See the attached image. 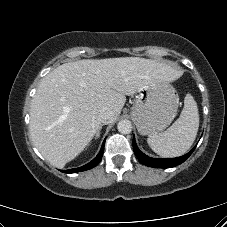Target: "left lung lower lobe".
I'll list each match as a JSON object with an SVG mask.
<instances>
[{
    "instance_id": "obj_1",
    "label": "left lung lower lobe",
    "mask_w": 227,
    "mask_h": 227,
    "mask_svg": "<svg viewBox=\"0 0 227 227\" xmlns=\"http://www.w3.org/2000/svg\"><path fill=\"white\" fill-rule=\"evenodd\" d=\"M194 149L195 147L189 153L178 158L157 159V158L149 157L145 155L143 152H141L136 145L135 138L133 137V150L138 160L142 164L149 167H154V168H171V167L177 166L183 163L192 154Z\"/></svg>"
}]
</instances>
